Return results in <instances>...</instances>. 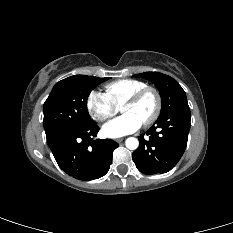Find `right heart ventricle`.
Masks as SVG:
<instances>
[{
  "instance_id": "right-heart-ventricle-1",
  "label": "right heart ventricle",
  "mask_w": 233,
  "mask_h": 233,
  "mask_svg": "<svg viewBox=\"0 0 233 233\" xmlns=\"http://www.w3.org/2000/svg\"><path fill=\"white\" fill-rule=\"evenodd\" d=\"M147 84L135 79H121L105 86V95L116 106L121 107L124 101Z\"/></svg>"
}]
</instances>
